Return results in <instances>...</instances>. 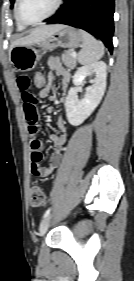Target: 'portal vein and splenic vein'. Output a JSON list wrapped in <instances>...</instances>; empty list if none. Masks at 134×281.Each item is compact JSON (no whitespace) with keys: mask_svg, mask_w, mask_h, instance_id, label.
Returning a JSON list of instances; mask_svg holds the SVG:
<instances>
[{"mask_svg":"<svg viewBox=\"0 0 134 281\" xmlns=\"http://www.w3.org/2000/svg\"><path fill=\"white\" fill-rule=\"evenodd\" d=\"M72 57H74V58H76V56H77V54H76V52H72Z\"/></svg>","mask_w":134,"mask_h":281,"instance_id":"obj_1","label":"portal vein and splenic vein"}]
</instances>
